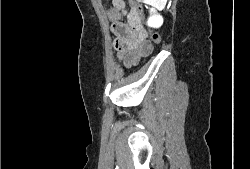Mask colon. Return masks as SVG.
<instances>
[{
  "label": "colon",
  "mask_w": 250,
  "mask_h": 169,
  "mask_svg": "<svg viewBox=\"0 0 250 169\" xmlns=\"http://www.w3.org/2000/svg\"><path fill=\"white\" fill-rule=\"evenodd\" d=\"M130 7L135 10L136 15H144V6L142 3H140V0H129ZM114 6H116L120 10H124V3L121 0H115ZM144 21L143 19L141 20ZM115 29L118 33L123 34L127 32V28L120 23H116ZM150 37L155 44H162V39L160 38L159 34L156 32H151ZM139 38L141 41H145V33L143 31H140Z\"/></svg>",
  "instance_id": "1"
}]
</instances>
